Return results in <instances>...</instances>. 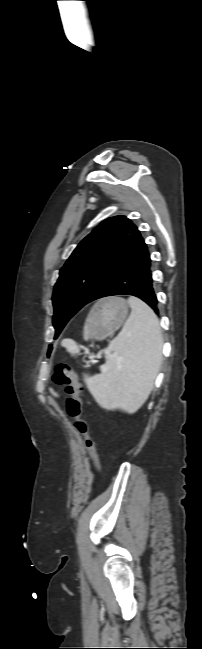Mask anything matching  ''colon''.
<instances>
[{"label": "colon", "mask_w": 202, "mask_h": 649, "mask_svg": "<svg viewBox=\"0 0 202 649\" xmlns=\"http://www.w3.org/2000/svg\"><path fill=\"white\" fill-rule=\"evenodd\" d=\"M53 380L58 385H63L67 394L66 409L69 416L74 419V427L83 438L86 451L91 459L93 469L99 471V460L96 453L95 442L90 434L89 422L82 416L83 401L81 398L82 387L73 368L65 363L55 366Z\"/></svg>", "instance_id": "obj_1"}]
</instances>
